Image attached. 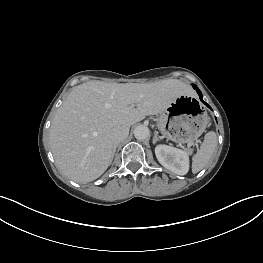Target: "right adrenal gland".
Segmentation results:
<instances>
[{"instance_id": "1", "label": "right adrenal gland", "mask_w": 263, "mask_h": 263, "mask_svg": "<svg viewBox=\"0 0 263 263\" xmlns=\"http://www.w3.org/2000/svg\"><path fill=\"white\" fill-rule=\"evenodd\" d=\"M117 147H118V144L115 146V149H114V151H113V154H114V155H115V152H116Z\"/></svg>"}]
</instances>
